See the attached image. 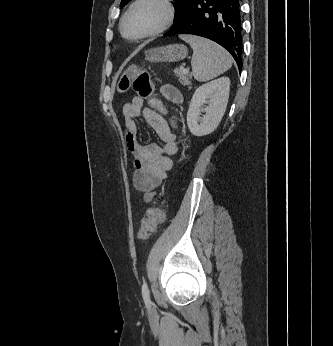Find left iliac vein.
<instances>
[{
  "instance_id": "4c4485c4",
  "label": "left iliac vein",
  "mask_w": 333,
  "mask_h": 346,
  "mask_svg": "<svg viewBox=\"0 0 333 346\" xmlns=\"http://www.w3.org/2000/svg\"><path fill=\"white\" fill-rule=\"evenodd\" d=\"M153 312H154V307L151 306V308H150V313H153Z\"/></svg>"
}]
</instances>
